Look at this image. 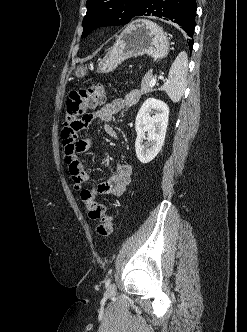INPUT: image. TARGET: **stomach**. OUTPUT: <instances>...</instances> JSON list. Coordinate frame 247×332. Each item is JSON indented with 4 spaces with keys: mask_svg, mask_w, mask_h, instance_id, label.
Returning <instances> with one entry per match:
<instances>
[{
    "mask_svg": "<svg viewBox=\"0 0 247 332\" xmlns=\"http://www.w3.org/2000/svg\"><path fill=\"white\" fill-rule=\"evenodd\" d=\"M168 52L169 42L162 28L149 20L137 19L123 30L114 46L99 62L97 72L109 73L123 61L144 54L160 60ZM87 72L88 68L84 65L74 68V76L77 78L84 77Z\"/></svg>",
    "mask_w": 247,
    "mask_h": 332,
    "instance_id": "0dacf381",
    "label": "stomach"
}]
</instances>
